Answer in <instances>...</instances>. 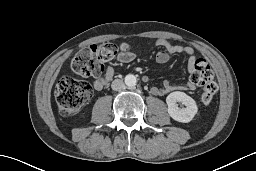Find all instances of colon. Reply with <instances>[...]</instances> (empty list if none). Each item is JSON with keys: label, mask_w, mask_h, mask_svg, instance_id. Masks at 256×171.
<instances>
[{"label": "colon", "mask_w": 256, "mask_h": 171, "mask_svg": "<svg viewBox=\"0 0 256 171\" xmlns=\"http://www.w3.org/2000/svg\"><path fill=\"white\" fill-rule=\"evenodd\" d=\"M129 46L106 43L81 49L71 61V69L84 77L99 76L104 64L113 60L117 54L126 53ZM191 80L202 87L200 99L203 104H209L216 92L217 84L214 73L204 59L195 61ZM56 102L59 112L64 116L76 113L92 96L91 86L83 81L70 77L60 79L55 88Z\"/></svg>", "instance_id": "obj_1"}]
</instances>
